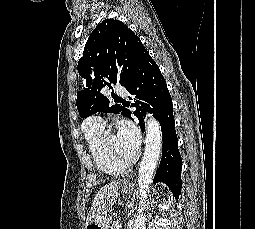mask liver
Wrapping results in <instances>:
<instances>
[{
  "label": "liver",
  "instance_id": "obj_1",
  "mask_svg": "<svg viewBox=\"0 0 255 229\" xmlns=\"http://www.w3.org/2000/svg\"><path fill=\"white\" fill-rule=\"evenodd\" d=\"M119 188L120 182L118 181H113L101 187L93 200L86 225L98 221L103 215L107 214L117 200Z\"/></svg>",
  "mask_w": 255,
  "mask_h": 229
}]
</instances>
